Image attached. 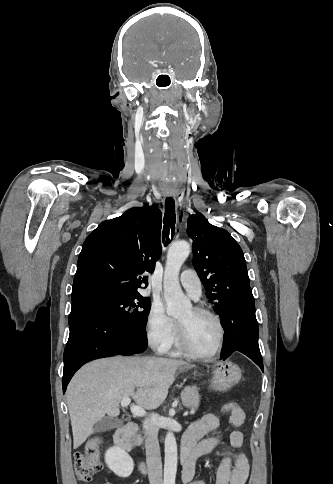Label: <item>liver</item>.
<instances>
[{"instance_id":"1","label":"liver","mask_w":333,"mask_h":484,"mask_svg":"<svg viewBox=\"0 0 333 484\" xmlns=\"http://www.w3.org/2000/svg\"><path fill=\"white\" fill-rule=\"evenodd\" d=\"M195 366L181 360L155 357H111L83 366L70 381L66 400L77 449L106 414H120L119 404L132 397L143 409H156L166 399L177 370Z\"/></svg>"}]
</instances>
